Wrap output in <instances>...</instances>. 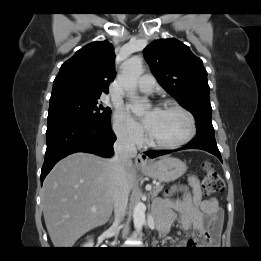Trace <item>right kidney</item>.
<instances>
[{"label": "right kidney", "instance_id": "obj_1", "mask_svg": "<svg viewBox=\"0 0 261 261\" xmlns=\"http://www.w3.org/2000/svg\"><path fill=\"white\" fill-rule=\"evenodd\" d=\"M93 246H94V243H93L92 241L87 242V243L84 245L85 248H92Z\"/></svg>", "mask_w": 261, "mask_h": 261}]
</instances>
